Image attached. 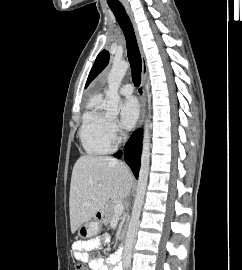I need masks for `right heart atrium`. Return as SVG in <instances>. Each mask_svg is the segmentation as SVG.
Listing matches in <instances>:
<instances>
[{
  "mask_svg": "<svg viewBox=\"0 0 242 270\" xmlns=\"http://www.w3.org/2000/svg\"><path fill=\"white\" fill-rule=\"evenodd\" d=\"M109 129H110V133H111V136H112L113 140L117 141V140H119L121 138L122 131H121V128L118 125L116 120H114V119L110 120Z\"/></svg>",
  "mask_w": 242,
  "mask_h": 270,
  "instance_id": "1",
  "label": "right heart atrium"
}]
</instances>
